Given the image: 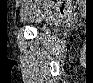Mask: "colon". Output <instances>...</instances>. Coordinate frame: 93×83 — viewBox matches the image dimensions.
<instances>
[{
    "label": "colon",
    "mask_w": 93,
    "mask_h": 83,
    "mask_svg": "<svg viewBox=\"0 0 93 83\" xmlns=\"http://www.w3.org/2000/svg\"><path fill=\"white\" fill-rule=\"evenodd\" d=\"M27 1L23 0L22 3H26ZM37 2V1H36ZM50 3L52 4H55L56 5V11L58 13H61L63 12L66 8L67 5H71L73 2L71 1H50ZM40 11H43V10H40V9H34L32 10L31 12H40Z\"/></svg>",
    "instance_id": "1"
}]
</instances>
